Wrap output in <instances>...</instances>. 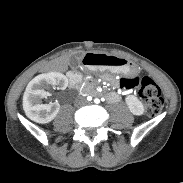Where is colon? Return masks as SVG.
Masks as SVG:
<instances>
[{
	"label": "colon",
	"mask_w": 183,
	"mask_h": 183,
	"mask_svg": "<svg viewBox=\"0 0 183 183\" xmlns=\"http://www.w3.org/2000/svg\"><path fill=\"white\" fill-rule=\"evenodd\" d=\"M87 64L93 66H117L122 65L123 61L118 58L105 55H92L87 59ZM122 89L138 88L139 96L145 104L146 112L149 116H157L164 105L161 89L158 84L148 76H129L120 80Z\"/></svg>",
	"instance_id": "obj_1"
}]
</instances>
